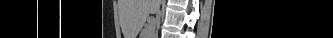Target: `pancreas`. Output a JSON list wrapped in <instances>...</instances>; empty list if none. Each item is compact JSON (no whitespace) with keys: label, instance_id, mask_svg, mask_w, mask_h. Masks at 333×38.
Segmentation results:
<instances>
[{"label":"pancreas","instance_id":"obj_1","mask_svg":"<svg viewBox=\"0 0 333 38\" xmlns=\"http://www.w3.org/2000/svg\"><path fill=\"white\" fill-rule=\"evenodd\" d=\"M154 29H155V26H154V24L153 25H148L146 28H145V30L142 32V36L143 37H145V38H148V36L150 35V34H153L154 33Z\"/></svg>","mask_w":333,"mask_h":38}]
</instances>
